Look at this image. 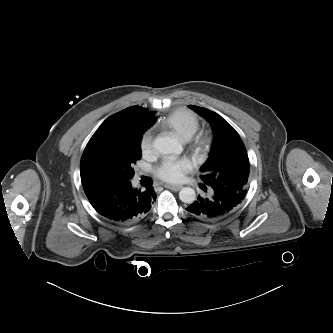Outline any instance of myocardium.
Masks as SVG:
<instances>
[{"mask_svg":"<svg viewBox=\"0 0 333 333\" xmlns=\"http://www.w3.org/2000/svg\"><path fill=\"white\" fill-rule=\"evenodd\" d=\"M213 144L212 136L208 133L197 135L192 139L190 150L196 162H203L207 159Z\"/></svg>","mask_w":333,"mask_h":333,"instance_id":"f54148a6","label":"myocardium"}]
</instances>
